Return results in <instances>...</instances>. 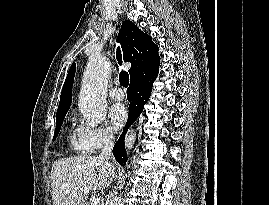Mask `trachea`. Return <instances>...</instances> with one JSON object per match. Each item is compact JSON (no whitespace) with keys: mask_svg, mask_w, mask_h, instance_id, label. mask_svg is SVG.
Returning <instances> with one entry per match:
<instances>
[{"mask_svg":"<svg viewBox=\"0 0 269 205\" xmlns=\"http://www.w3.org/2000/svg\"><path fill=\"white\" fill-rule=\"evenodd\" d=\"M116 57H117V60H118V63L120 65H122V55H121V51H120V48L118 47L117 48V51H116ZM119 82L120 84L123 86V87H128L129 85V75L126 71L122 70L119 74Z\"/></svg>","mask_w":269,"mask_h":205,"instance_id":"obj_1","label":"trachea"}]
</instances>
